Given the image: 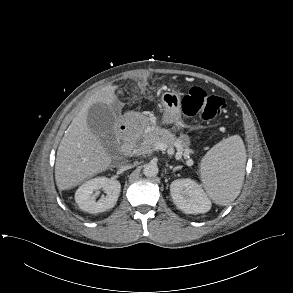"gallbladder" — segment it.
<instances>
[{
    "label": "gallbladder",
    "instance_id": "1",
    "mask_svg": "<svg viewBox=\"0 0 293 293\" xmlns=\"http://www.w3.org/2000/svg\"><path fill=\"white\" fill-rule=\"evenodd\" d=\"M115 119V113L107 104L95 103L88 110L87 123L95 135L112 139Z\"/></svg>",
    "mask_w": 293,
    "mask_h": 293
}]
</instances>
